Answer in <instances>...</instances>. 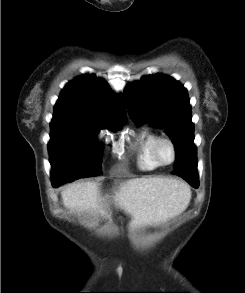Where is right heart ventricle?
Returning <instances> with one entry per match:
<instances>
[{"label":"right heart ventricle","instance_id":"1","mask_svg":"<svg viewBox=\"0 0 245 293\" xmlns=\"http://www.w3.org/2000/svg\"><path fill=\"white\" fill-rule=\"evenodd\" d=\"M158 134L150 129H143L139 135L136 150V164L140 170L151 171L161 166L155 159L153 148Z\"/></svg>","mask_w":245,"mask_h":293}]
</instances>
